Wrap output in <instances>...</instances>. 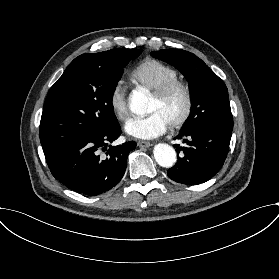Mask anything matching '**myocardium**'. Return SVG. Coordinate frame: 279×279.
<instances>
[{"mask_svg":"<svg viewBox=\"0 0 279 279\" xmlns=\"http://www.w3.org/2000/svg\"><path fill=\"white\" fill-rule=\"evenodd\" d=\"M176 90H181L184 94L185 105L182 114L170 125L174 129L181 128L190 118L193 110V92L190 84L180 78L170 80L153 92V96L162 100L167 98Z\"/></svg>","mask_w":279,"mask_h":279,"instance_id":"myocardium-1","label":"myocardium"}]
</instances>
